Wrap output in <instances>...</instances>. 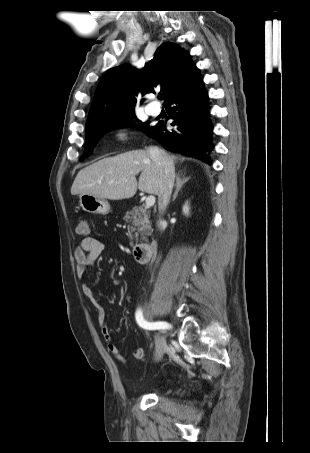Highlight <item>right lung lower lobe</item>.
I'll use <instances>...</instances> for the list:
<instances>
[{
	"label": "right lung lower lobe",
	"instance_id": "98d812e1",
	"mask_svg": "<svg viewBox=\"0 0 310 453\" xmlns=\"http://www.w3.org/2000/svg\"><path fill=\"white\" fill-rule=\"evenodd\" d=\"M208 94L197 68L173 91L165 101L169 118L176 126L171 132L164 123L150 127L146 134L157 140L165 149L201 159L210 164L209 152L213 148L207 107ZM172 106V107H171Z\"/></svg>",
	"mask_w": 310,
	"mask_h": 453
}]
</instances>
